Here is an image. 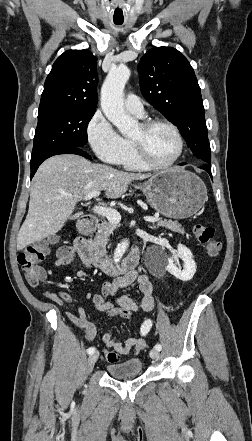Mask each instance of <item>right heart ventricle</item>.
<instances>
[{
  "label": "right heart ventricle",
  "instance_id": "obj_1",
  "mask_svg": "<svg viewBox=\"0 0 252 441\" xmlns=\"http://www.w3.org/2000/svg\"><path fill=\"white\" fill-rule=\"evenodd\" d=\"M127 142V150L121 160V165L123 168L131 171H145L148 168H146L138 159L134 146L131 142V140L126 139Z\"/></svg>",
  "mask_w": 252,
  "mask_h": 441
}]
</instances>
